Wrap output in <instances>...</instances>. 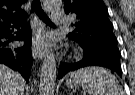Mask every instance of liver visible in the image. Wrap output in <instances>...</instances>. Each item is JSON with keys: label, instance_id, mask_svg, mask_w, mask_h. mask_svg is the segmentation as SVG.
I'll return each instance as SVG.
<instances>
[{"label": "liver", "instance_id": "liver-1", "mask_svg": "<svg viewBox=\"0 0 135 95\" xmlns=\"http://www.w3.org/2000/svg\"><path fill=\"white\" fill-rule=\"evenodd\" d=\"M25 80L18 73L0 64V95H23Z\"/></svg>", "mask_w": 135, "mask_h": 95}]
</instances>
